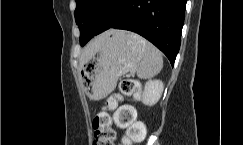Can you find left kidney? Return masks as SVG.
Instances as JSON below:
<instances>
[{
  "label": "left kidney",
  "mask_w": 243,
  "mask_h": 145,
  "mask_svg": "<svg viewBox=\"0 0 243 145\" xmlns=\"http://www.w3.org/2000/svg\"><path fill=\"white\" fill-rule=\"evenodd\" d=\"M164 84L160 80H150L146 82L143 92V103L148 106L155 105L163 92Z\"/></svg>",
  "instance_id": "left-kidney-1"
}]
</instances>
